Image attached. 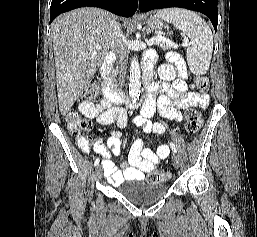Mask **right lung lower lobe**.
Masks as SVG:
<instances>
[{
  "label": "right lung lower lobe",
  "instance_id": "98d812e1",
  "mask_svg": "<svg viewBox=\"0 0 257 237\" xmlns=\"http://www.w3.org/2000/svg\"><path fill=\"white\" fill-rule=\"evenodd\" d=\"M80 7H100L114 14L131 17L137 10V0H52L50 23L61 13Z\"/></svg>",
  "mask_w": 257,
  "mask_h": 237
}]
</instances>
